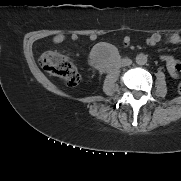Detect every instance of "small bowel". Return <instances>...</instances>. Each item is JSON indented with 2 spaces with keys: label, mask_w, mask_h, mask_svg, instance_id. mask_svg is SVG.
<instances>
[{
  "label": "small bowel",
  "mask_w": 181,
  "mask_h": 181,
  "mask_svg": "<svg viewBox=\"0 0 181 181\" xmlns=\"http://www.w3.org/2000/svg\"><path fill=\"white\" fill-rule=\"evenodd\" d=\"M72 39L77 40L78 36L73 35ZM64 40H65V36L63 34H56L52 39L54 44H61L64 42ZM163 40L169 44H181V36L175 33L170 34L166 36L165 38H163V36L159 33H154L146 39V43L150 46H154ZM129 43H130V38L125 37L124 44L129 45ZM162 60L165 62L170 76L172 78H178L181 74V62H179L174 57L169 56V55L163 56Z\"/></svg>",
  "instance_id": "c3829d8e"
}]
</instances>
